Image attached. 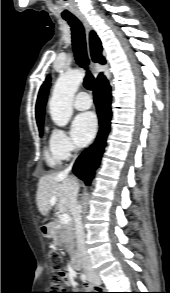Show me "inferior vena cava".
Wrapping results in <instances>:
<instances>
[{
	"instance_id": "obj_1",
	"label": "inferior vena cava",
	"mask_w": 170,
	"mask_h": 293,
	"mask_svg": "<svg viewBox=\"0 0 170 293\" xmlns=\"http://www.w3.org/2000/svg\"><path fill=\"white\" fill-rule=\"evenodd\" d=\"M73 166V162L69 165V167L64 170V173L68 174ZM79 187L78 184H75L71 190V211L75 221V230H76V240H77V251L81 258L83 268L85 270L92 269V263L88 256L86 245H85V233L81 220L80 209L77 204V196H78Z\"/></svg>"
}]
</instances>
